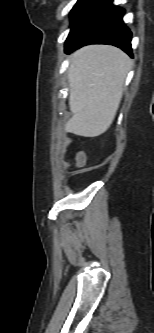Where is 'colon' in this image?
Wrapping results in <instances>:
<instances>
[{
  "mask_svg": "<svg viewBox=\"0 0 154 333\" xmlns=\"http://www.w3.org/2000/svg\"><path fill=\"white\" fill-rule=\"evenodd\" d=\"M82 163H83V157H82V156H79V157H78V160H77V164H78V166H81Z\"/></svg>",
  "mask_w": 154,
  "mask_h": 333,
  "instance_id": "1",
  "label": "colon"
}]
</instances>
